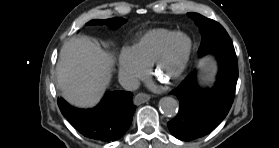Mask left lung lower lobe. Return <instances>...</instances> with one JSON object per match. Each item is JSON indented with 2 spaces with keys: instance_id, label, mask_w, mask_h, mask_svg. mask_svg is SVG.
Returning a JSON list of instances; mask_svg holds the SVG:
<instances>
[{
  "instance_id": "1",
  "label": "left lung lower lobe",
  "mask_w": 279,
  "mask_h": 148,
  "mask_svg": "<svg viewBox=\"0 0 279 148\" xmlns=\"http://www.w3.org/2000/svg\"><path fill=\"white\" fill-rule=\"evenodd\" d=\"M212 54L219 64L217 82L213 88L200 89L196 84V71H193L171 91L180 102L177 116L168 122L170 132L177 139L190 141L211 133L231 108L238 79L234 47Z\"/></svg>"
}]
</instances>
